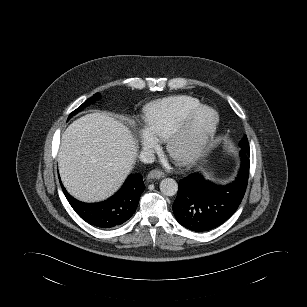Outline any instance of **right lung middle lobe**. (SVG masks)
I'll list each match as a JSON object with an SVG mask.
<instances>
[{"label": "right lung middle lobe", "instance_id": "right-lung-middle-lobe-1", "mask_svg": "<svg viewBox=\"0 0 307 307\" xmlns=\"http://www.w3.org/2000/svg\"><path fill=\"white\" fill-rule=\"evenodd\" d=\"M99 93L93 95L90 99H88L87 101H85L80 107H78L75 111H73L70 115L69 118L70 119L73 115H75L77 112L81 111L84 107L88 106L90 103L94 102L95 100H97L99 98Z\"/></svg>", "mask_w": 307, "mask_h": 307}]
</instances>
